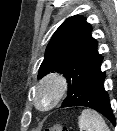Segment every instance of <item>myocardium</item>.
<instances>
[{
    "label": "myocardium",
    "instance_id": "f54148a6",
    "mask_svg": "<svg viewBox=\"0 0 117 131\" xmlns=\"http://www.w3.org/2000/svg\"><path fill=\"white\" fill-rule=\"evenodd\" d=\"M68 90L66 79L60 74H49L42 78L33 90V104L39 111H49L56 107L64 98ZM49 94L47 103H42V96Z\"/></svg>",
    "mask_w": 117,
    "mask_h": 131
}]
</instances>
